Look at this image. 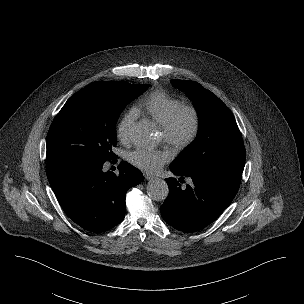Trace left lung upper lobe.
<instances>
[{
	"label": "left lung upper lobe",
	"instance_id": "obj_1",
	"mask_svg": "<svg viewBox=\"0 0 304 304\" xmlns=\"http://www.w3.org/2000/svg\"><path fill=\"white\" fill-rule=\"evenodd\" d=\"M171 83L186 93L200 115L197 137L171 165L182 172L226 171L242 174L245 148L229 108L197 82L171 80Z\"/></svg>",
	"mask_w": 304,
	"mask_h": 304
}]
</instances>
